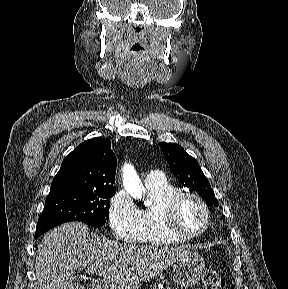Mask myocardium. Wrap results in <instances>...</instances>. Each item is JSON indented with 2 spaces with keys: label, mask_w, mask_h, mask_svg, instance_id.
I'll list each match as a JSON object with an SVG mask.
<instances>
[{
  "label": "myocardium",
  "mask_w": 288,
  "mask_h": 289,
  "mask_svg": "<svg viewBox=\"0 0 288 289\" xmlns=\"http://www.w3.org/2000/svg\"><path fill=\"white\" fill-rule=\"evenodd\" d=\"M194 199L202 207L205 214L204 227L195 233H188L183 231L177 224L176 210L180 202L184 199ZM160 217L162 225L171 234L184 240L197 239L203 236L211 226V213L206 201L197 193L191 191H179L167 197L160 206Z\"/></svg>",
  "instance_id": "obj_1"
}]
</instances>
